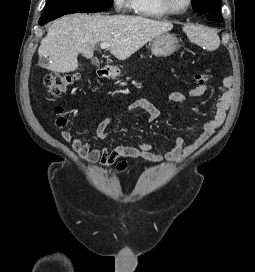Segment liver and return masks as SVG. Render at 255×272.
<instances>
[{"label": "liver", "mask_w": 255, "mask_h": 272, "mask_svg": "<svg viewBox=\"0 0 255 272\" xmlns=\"http://www.w3.org/2000/svg\"><path fill=\"white\" fill-rule=\"evenodd\" d=\"M173 28L170 22L131 15L70 14L54 21L38 49L40 60L48 61L47 69L73 72L77 56L93 57L97 43H110V53L125 60L156 36Z\"/></svg>", "instance_id": "1"}]
</instances>
